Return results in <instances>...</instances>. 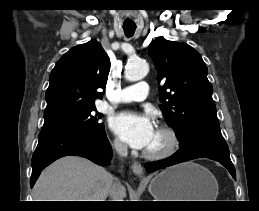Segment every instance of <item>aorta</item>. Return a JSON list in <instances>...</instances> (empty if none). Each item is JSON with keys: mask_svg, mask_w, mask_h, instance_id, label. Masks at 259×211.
I'll list each match as a JSON object with an SVG mask.
<instances>
[{"mask_svg": "<svg viewBox=\"0 0 259 211\" xmlns=\"http://www.w3.org/2000/svg\"><path fill=\"white\" fill-rule=\"evenodd\" d=\"M149 72V65L142 60H137L127 64L125 69V78L128 81H139Z\"/></svg>", "mask_w": 259, "mask_h": 211, "instance_id": "obj_1", "label": "aorta"}]
</instances>
